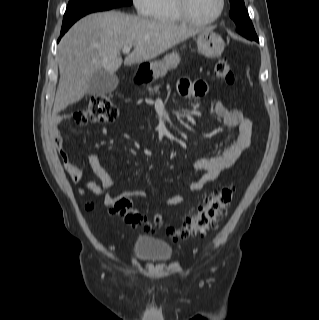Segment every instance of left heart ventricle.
<instances>
[{"instance_id":"obj_1","label":"left heart ventricle","mask_w":319,"mask_h":320,"mask_svg":"<svg viewBox=\"0 0 319 320\" xmlns=\"http://www.w3.org/2000/svg\"><path fill=\"white\" fill-rule=\"evenodd\" d=\"M219 0H189L192 14L198 19L214 17L219 10Z\"/></svg>"}]
</instances>
